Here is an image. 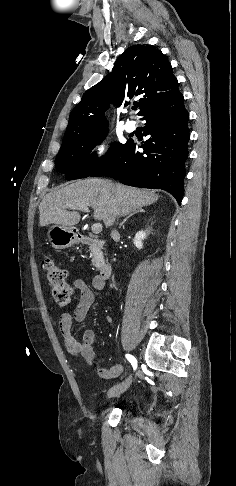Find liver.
<instances>
[{
	"instance_id": "liver-1",
	"label": "liver",
	"mask_w": 236,
	"mask_h": 486,
	"mask_svg": "<svg viewBox=\"0 0 236 486\" xmlns=\"http://www.w3.org/2000/svg\"><path fill=\"white\" fill-rule=\"evenodd\" d=\"M158 198L159 196L151 190L89 178L48 193L39 205V224L41 227L49 224L73 227L81 219L80 214L74 210L92 207L94 219L103 221L108 228L117 216H125L151 205Z\"/></svg>"
}]
</instances>
